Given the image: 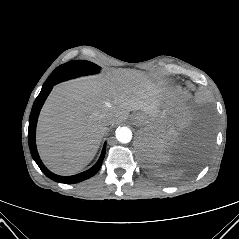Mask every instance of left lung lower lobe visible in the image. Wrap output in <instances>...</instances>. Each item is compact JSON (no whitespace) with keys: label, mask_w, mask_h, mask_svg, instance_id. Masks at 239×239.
I'll return each mask as SVG.
<instances>
[{"label":"left lung lower lobe","mask_w":239,"mask_h":239,"mask_svg":"<svg viewBox=\"0 0 239 239\" xmlns=\"http://www.w3.org/2000/svg\"><path fill=\"white\" fill-rule=\"evenodd\" d=\"M153 145L152 144H146L145 150H146V155L149 161L153 162L155 160V154L153 152Z\"/></svg>","instance_id":"left-lung-lower-lobe-1"}]
</instances>
